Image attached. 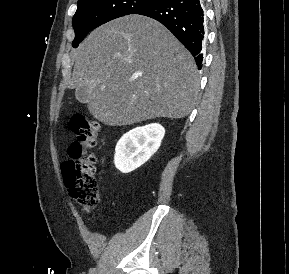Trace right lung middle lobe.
<instances>
[{"mask_svg":"<svg viewBox=\"0 0 289 274\" xmlns=\"http://www.w3.org/2000/svg\"><path fill=\"white\" fill-rule=\"evenodd\" d=\"M157 0H78V8L73 17L76 48L92 29L113 19L133 14Z\"/></svg>","mask_w":289,"mask_h":274,"instance_id":"obj_1","label":"right lung middle lobe"}]
</instances>
